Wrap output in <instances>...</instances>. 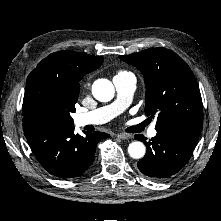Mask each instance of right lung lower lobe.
I'll list each match as a JSON object with an SVG mask.
<instances>
[{"instance_id": "right-lung-lower-lobe-1", "label": "right lung lower lobe", "mask_w": 221, "mask_h": 221, "mask_svg": "<svg viewBox=\"0 0 221 221\" xmlns=\"http://www.w3.org/2000/svg\"><path fill=\"white\" fill-rule=\"evenodd\" d=\"M24 134L40 164L52 175L66 179L83 174L93 163L103 132L74 133V126L47 122L23 123Z\"/></svg>"}]
</instances>
